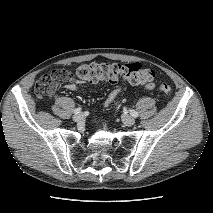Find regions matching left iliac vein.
<instances>
[{
  "label": "left iliac vein",
  "mask_w": 213,
  "mask_h": 213,
  "mask_svg": "<svg viewBox=\"0 0 213 213\" xmlns=\"http://www.w3.org/2000/svg\"><path fill=\"white\" fill-rule=\"evenodd\" d=\"M122 121L126 126H132L135 123V119L126 114L122 116Z\"/></svg>",
  "instance_id": "4c4485c4"
}]
</instances>
